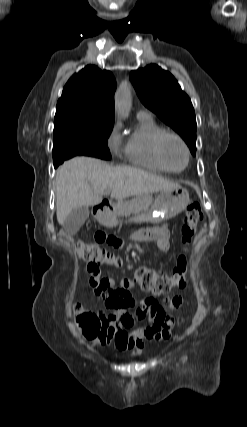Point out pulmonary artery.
<instances>
[{
  "label": "pulmonary artery",
  "instance_id": "pulmonary-artery-1",
  "mask_svg": "<svg viewBox=\"0 0 247 427\" xmlns=\"http://www.w3.org/2000/svg\"><path fill=\"white\" fill-rule=\"evenodd\" d=\"M143 115H149V113L147 111H145V110H140L138 112V116H143Z\"/></svg>",
  "mask_w": 247,
  "mask_h": 427
}]
</instances>
